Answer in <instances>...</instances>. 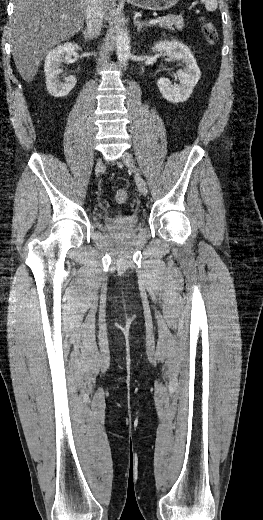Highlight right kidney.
<instances>
[{"label":"right kidney","instance_id":"ca27d5eb","mask_svg":"<svg viewBox=\"0 0 263 520\" xmlns=\"http://www.w3.org/2000/svg\"><path fill=\"white\" fill-rule=\"evenodd\" d=\"M80 46L75 43H64L50 50L45 58L44 72L49 94L56 98L67 96L77 83L75 76L64 77L61 81V65L68 61Z\"/></svg>","mask_w":263,"mask_h":520}]
</instances>
